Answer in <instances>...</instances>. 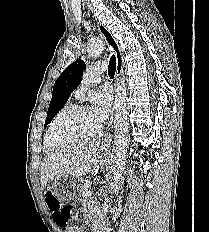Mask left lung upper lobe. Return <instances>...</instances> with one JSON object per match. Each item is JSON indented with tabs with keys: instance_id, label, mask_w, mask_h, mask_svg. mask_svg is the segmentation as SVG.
<instances>
[{
	"instance_id": "5c2ea615",
	"label": "left lung upper lobe",
	"mask_w": 209,
	"mask_h": 232,
	"mask_svg": "<svg viewBox=\"0 0 209 232\" xmlns=\"http://www.w3.org/2000/svg\"><path fill=\"white\" fill-rule=\"evenodd\" d=\"M85 69V62L79 59L70 64L56 80L44 127L51 122L68 101L71 93L80 85Z\"/></svg>"
}]
</instances>
